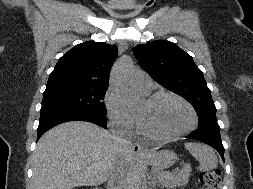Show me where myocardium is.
<instances>
[{
	"label": "myocardium",
	"mask_w": 253,
	"mask_h": 189,
	"mask_svg": "<svg viewBox=\"0 0 253 189\" xmlns=\"http://www.w3.org/2000/svg\"><path fill=\"white\" fill-rule=\"evenodd\" d=\"M162 98H172V99L180 102L181 104H183L189 110V112L191 114V122L184 129H182L172 135H168V136H156V135L150 134L147 131H145L141 127L140 123L138 122V131L143 136H145L148 139L158 141V142H168V141L175 140L177 138H180V137L190 133L191 131H193L197 127V124H198L197 113H196L195 109L193 108V106L187 100H185L183 97H181L175 93H172V92H157V93H154L151 96H149L147 99V102L154 103Z\"/></svg>",
	"instance_id": "f54148a6"
}]
</instances>
